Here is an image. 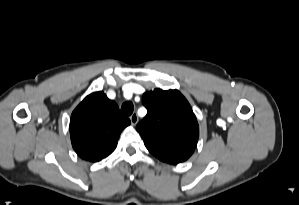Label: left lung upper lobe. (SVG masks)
<instances>
[{
    "label": "left lung upper lobe",
    "mask_w": 299,
    "mask_h": 205,
    "mask_svg": "<svg viewBox=\"0 0 299 205\" xmlns=\"http://www.w3.org/2000/svg\"><path fill=\"white\" fill-rule=\"evenodd\" d=\"M147 115L136 126L150 149H195L199 126L192 108L178 90L155 89L143 95Z\"/></svg>",
    "instance_id": "5c2ea615"
}]
</instances>
